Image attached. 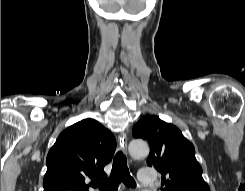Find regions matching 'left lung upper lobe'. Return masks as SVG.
Masks as SVG:
<instances>
[{
  "label": "left lung upper lobe",
  "instance_id": "5c2ea615",
  "mask_svg": "<svg viewBox=\"0 0 245 191\" xmlns=\"http://www.w3.org/2000/svg\"><path fill=\"white\" fill-rule=\"evenodd\" d=\"M132 134L151 145L147 165L162 174L163 191H210L195 158V148L178 127L148 115L136 123Z\"/></svg>",
  "mask_w": 245,
  "mask_h": 191
}]
</instances>
